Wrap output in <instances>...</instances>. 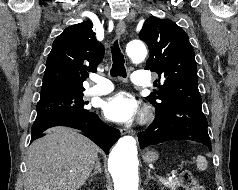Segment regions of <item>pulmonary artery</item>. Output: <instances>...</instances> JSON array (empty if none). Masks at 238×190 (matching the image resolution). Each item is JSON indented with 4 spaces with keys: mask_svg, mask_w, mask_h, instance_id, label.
<instances>
[{
    "mask_svg": "<svg viewBox=\"0 0 238 190\" xmlns=\"http://www.w3.org/2000/svg\"><path fill=\"white\" fill-rule=\"evenodd\" d=\"M95 85L90 87L86 94L89 96H99L110 93L114 86L111 81L106 78L96 76L93 78ZM132 82L141 87H146L150 85L151 77L148 71L138 70L133 73Z\"/></svg>",
    "mask_w": 238,
    "mask_h": 190,
    "instance_id": "e3ab8cb5",
    "label": "pulmonary artery"
}]
</instances>
